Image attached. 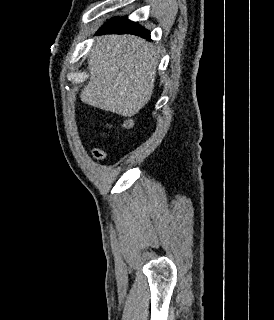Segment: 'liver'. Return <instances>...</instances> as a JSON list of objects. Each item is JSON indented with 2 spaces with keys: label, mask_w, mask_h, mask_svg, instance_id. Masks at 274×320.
Here are the masks:
<instances>
[{
  "label": "liver",
  "mask_w": 274,
  "mask_h": 320,
  "mask_svg": "<svg viewBox=\"0 0 274 320\" xmlns=\"http://www.w3.org/2000/svg\"><path fill=\"white\" fill-rule=\"evenodd\" d=\"M158 66L155 48L138 36H100L88 60L84 104L131 118L151 100Z\"/></svg>",
  "instance_id": "obj_1"
}]
</instances>
